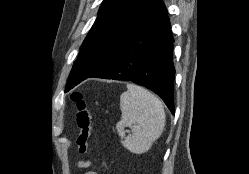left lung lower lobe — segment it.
<instances>
[{
    "mask_svg": "<svg viewBox=\"0 0 249 174\" xmlns=\"http://www.w3.org/2000/svg\"><path fill=\"white\" fill-rule=\"evenodd\" d=\"M173 43L165 6L121 48L104 67L88 78L132 81L159 95L174 115ZM87 78L76 79L70 89Z\"/></svg>",
    "mask_w": 249,
    "mask_h": 174,
    "instance_id": "obj_1",
    "label": "left lung lower lobe"
}]
</instances>
